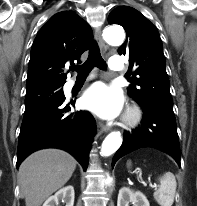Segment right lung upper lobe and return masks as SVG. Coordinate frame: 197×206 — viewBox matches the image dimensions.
I'll use <instances>...</instances> for the list:
<instances>
[{
    "label": "right lung upper lobe",
    "instance_id": "obj_1",
    "mask_svg": "<svg viewBox=\"0 0 197 206\" xmlns=\"http://www.w3.org/2000/svg\"><path fill=\"white\" fill-rule=\"evenodd\" d=\"M93 32L87 22L71 11L53 15L39 30L32 48L28 65L27 89L62 87L67 75L63 68L74 66L88 50Z\"/></svg>",
    "mask_w": 197,
    "mask_h": 206
}]
</instances>
